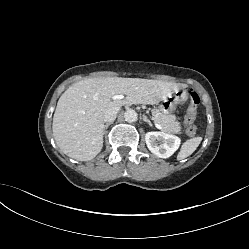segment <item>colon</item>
<instances>
[{"label":"colon","instance_id":"obj_1","mask_svg":"<svg viewBox=\"0 0 249 249\" xmlns=\"http://www.w3.org/2000/svg\"><path fill=\"white\" fill-rule=\"evenodd\" d=\"M189 98H190V105L188 112L184 118V124L187 128V134L189 136H193L196 132V127L194 125V122L197 115L198 105L200 103V97L196 92L190 91Z\"/></svg>","mask_w":249,"mask_h":249}]
</instances>
